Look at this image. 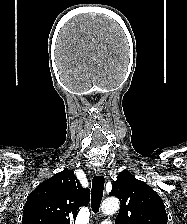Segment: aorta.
<instances>
[{
  "label": "aorta",
  "instance_id": "aorta-1",
  "mask_svg": "<svg viewBox=\"0 0 187 224\" xmlns=\"http://www.w3.org/2000/svg\"><path fill=\"white\" fill-rule=\"evenodd\" d=\"M119 209V200L117 198L106 199L101 205V211L106 215H112Z\"/></svg>",
  "mask_w": 187,
  "mask_h": 224
}]
</instances>
